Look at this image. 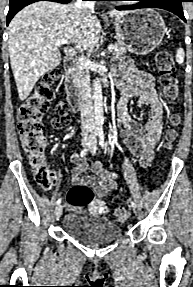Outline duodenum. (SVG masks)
I'll return each instance as SVG.
<instances>
[{"label": "duodenum", "mask_w": 193, "mask_h": 287, "mask_svg": "<svg viewBox=\"0 0 193 287\" xmlns=\"http://www.w3.org/2000/svg\"><path fill=\"white\" fill-rule=\"evenodd\" d=\"M76 58L73 55H67L64 61V69L66 75V90L68 103L73 111H78L81 108V94L78 90L74 78V69Z\"/></svg>", "instance_id": "obj_1"}]
</instances>
